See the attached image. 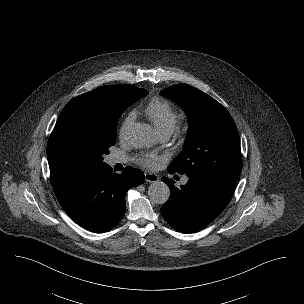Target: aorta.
Segmentation results:
<instances>
[{
	"label": "aorta",
	"mask_w": 304,
	"mask_h": 304,
	"mask_svg": "<svg viewBox=\"0 0 304 304\" xmlns=\"http://www.w3.org/2000/svg\"><path fill=\"white\" fill-rule=\"evenodd\" d=\"M151 128L147 124L138 123L128 134V141L134 147H145L149 144ZM149 198L156 204H164L170 197L169 187L162 181H154L148 190Z\"/></svg>",
	"instance_id": "aorta-1"
}]
</instances>
